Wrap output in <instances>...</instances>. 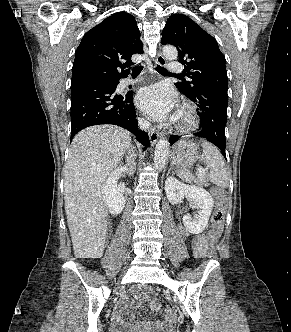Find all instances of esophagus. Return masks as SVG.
<instances>
[{
  "instance_id": "esophagus-1",
  "label": "esophagus",
  "mask_w": 291,
  "mask_h": 332,
  "mask_svg": "<svg viewBox=\"0 0 291 332\" xmlns=\"http://www.w3.org/2000/svg\"><path fill=\"white\" fill-rule=\"evenodd\" d=\"M155 63L158 65H165L166 60L160 53H158L155 59ZM160 136H161L160 132L155 130L154 128H151L149 130V138L152 145H154L157 142Z\"/></svg>"
}]
</instances>
